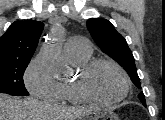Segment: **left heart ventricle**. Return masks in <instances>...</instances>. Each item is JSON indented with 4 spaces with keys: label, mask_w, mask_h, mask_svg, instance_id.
I'll return each instance as SVG.
<instances>
[{
    "label": "left heart ventricle",
    "mask_w": 165,
    "mask_h": 120,
    "mask_svg": "<svg viewBox=\"0 0 165 120\" xmlns=\"http://www.w3.org/2000/svg\"><path fill=\"white\" fill-rule=\"evenodd\" d=\"M90 89L98 97L113 99L124 91L121 75L113 67L101 65L95 69L90 77Z\"/></svg>",
    "instance_id": "left-heart-ventricle-1"
}]
</instances>
